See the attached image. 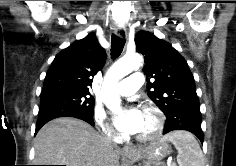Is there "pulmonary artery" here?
Here are the masks:
<instances>
[{"instance_id": "1", "label": "pulmonary artery", "mask_w": 236, "mask_h": 166, "mask_svg": "<svg viewBox=\"0 0 236 166\" xmlns=\"http://www.w3.org/2000/svg\"><path fill=\"white\" fill-rule=\"evenodd\" d=\"M143 84V74L140 71L133 72L127 79L122 80L117 87L119 96L125 97L134 94Z\"/></svg>"}]
</instances>
